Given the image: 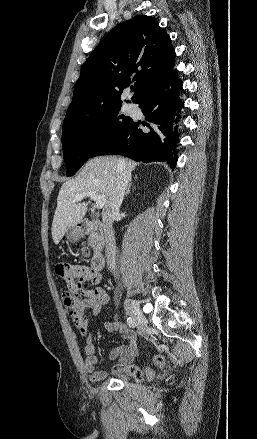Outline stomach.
Returning a JSON list of instances; mask_svg holds the SVG:
<instances>
[{
  "label": "stomach",
  "instance_id": "obj_1",
  "mask_svg": "<svg viewBox=\"0 0 257 439\" xmlns=\"http://www.w3.org/2000/svg\"><path fill=\"white\" fill-rule=\"evenodd\" d=\"M66 237L68 240L70 241H74L77 240L80 237V231L77 229V227H73L70 228L67 232H66Z\"/></svg>",
  "mask_w": 257,
  "mask_h": 439
}]
</instances>
